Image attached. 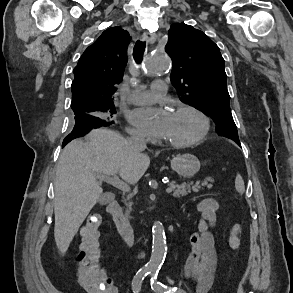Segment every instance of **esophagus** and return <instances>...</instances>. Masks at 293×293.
I'll use <instances>...</instances> for the list:
<instances>
[{"mask_svg": "<svg viewBox=\"0 0 293 293\" xmlns=\"http://www.w3.org/2000/svg\"><path fill=\"white\" fill-rule=\"evenodd\" d=\"M142 40L146 41L149 44H153L155 42V40H156V34H154V33H145L142 36Z\"/></svg>", "mask_w": 293, "mask_h": 293, "instance_id": "obj_1", "label": "esophagus"}]
</instances>
